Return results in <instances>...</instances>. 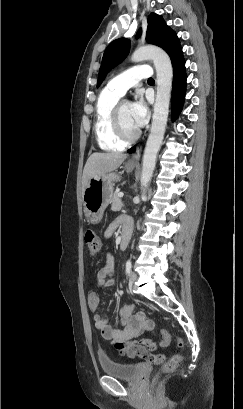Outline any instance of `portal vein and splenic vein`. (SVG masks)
Returning a JSON list of instances; mask_svg holds the SVG:
<instances>
[{"label":"portal vein and splenic vein","mask_w":243,"mask_h":409,"mask_svg":"<svg viewBox=\"0 0 243 409\" xmlns=\"http://www.w3.org/2000/svg\"><path fill=\"white\" fill-rule=\"evenodd\" d=\"M118 196H119V197H123L124 194H123L122 192H120V193L118 194Z\"/></svg>","instance_id":"obj_1"}]
</instances>
